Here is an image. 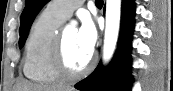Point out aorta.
I'll return each mask as SVG.
<instances>
[{
  "mask_svg": "<svg viewBox=\"0 0 173 91\" xmlns=\"http://www.w3.org/2000/svg\"><path fill=\"white\" fill-rule=\"evenodd\" d=\"M121 0H106V27L103 46V60L112 58L119 33Z\"/></svg>",
  "mask_w": 173,
  "mask_h": 91,
  "instance_id": "762f6f07",
  "label": "aorta"
}]
</instances>
